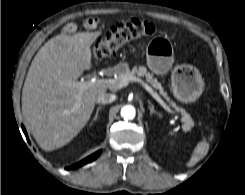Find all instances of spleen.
<instances>
[{
	"mask_svg": "<svg viewBox=\"0 0 245 195\" xmlns=\"http://www.w3.org/2000/svg\"><path fill=\"white\" fill-rule=\"evenodd\" d=\"M207 150H208V145L206 143L199 144L195 150L194 156L192 157V159L190 160V162L187 165L188 166L194 165L199 160L198 155L205 154L207 152Z\"/></svg>",
	"mask_w": 245,
	"mask_h": 195,
	"instance_id": "1",
	"label": "spleen"
}]
</instances>
